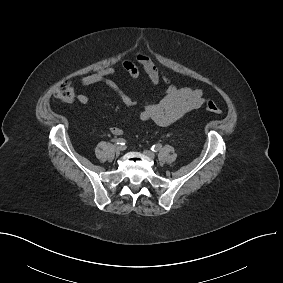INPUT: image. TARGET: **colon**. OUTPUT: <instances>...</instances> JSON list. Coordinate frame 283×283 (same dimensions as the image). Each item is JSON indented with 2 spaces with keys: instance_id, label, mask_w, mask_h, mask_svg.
Segmentation results:
<instances>
[{
  "instance_id": "1",
  "label": "colon",
  "mask_w": 283,
  "mask_h": 283,
  "mask_svg": "<svg viewBox=\"0 0 283 283\" xmlns=\"http://www.w3.org/2000/svg\"><path fill=\"white\" fill-rule=\"evenodd\" d=\"M55 96L63 102H72L75 98L74 88L70 82H64L57 88ZM205 109L216 115H220L222 113L219 106L211 100L205 102Z\"/></svg>"
}]
</instances>
